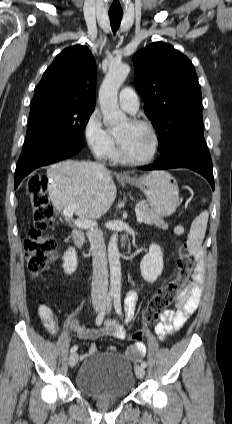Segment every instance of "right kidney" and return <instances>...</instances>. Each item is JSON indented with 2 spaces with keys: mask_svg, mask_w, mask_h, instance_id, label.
<instances>
[{
  "mask_svg": "<svg viewBox=\"0 0 232 424\" xmlns=\"http://www.w3.org/2000/svg\"><path fill=\"white\" fill-rule=\"evenodd\" d=\"M63 269L66 274H72L75 272L78 262L76 250L70 247L63 256Z\"/></svg>",
  "mask_w": 232,
  "mask_h": 424,
  "instance_id": "ca27d5eb",
  "label": "right kidney"
}]
</instances>
